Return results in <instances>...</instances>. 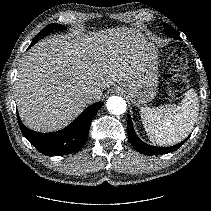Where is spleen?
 Instances as JSON below:
<instances>
[{"label":"spleen","instance_id":"obj_1","mask_svg":"<svg viewBox=\"0 0 211 211\" xmlns=\"http://www.w3.org/2000/svg\"><path fill=\"white\" fill-rule=\"evenodd\" d=\"M199 101L194 89L185 93L178 105L157 109L142 107L141 120L150 140L170 146L184 140L192 131L198 117Z\"/></svg>","mask_w":211,"mask_h":211}]
</instances>
